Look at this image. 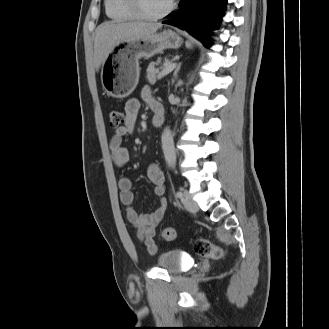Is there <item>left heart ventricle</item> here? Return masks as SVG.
<instances>
[{"instance_id": "1", "label": "left heart ventricle", "mask_w": 329, "mask_h": 329, "mask_svg": "<svg viewBox=\"0 0 329 329\" xmlns=\"http://www.w3.org/2000/svg\"><path fill=\"white\" fill-rule=\"evenodd\" d=\"M171 0H140L143 11L149 15H156L164 11Z\"/></svg>"}]
</instances>
